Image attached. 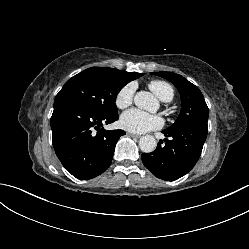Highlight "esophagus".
Returning a JSON list of instances; mask_svg holds the SVG:
<instances>
[{"instance_id": "esophagus-1", "label": "esophagus", "mask_w": 249, "mask_h": 249, "mask_svg": "<svg viewBox=\"0 0 249 249\" xmlns=\"http://www.w3.org/2000/svg\"><path fill=\"white\" fill-rule=\"evenodd\" d=\"M127 135L130 136V137H136V138L140 137V135L134 134V133H130V132H128Z\"/></svg>"}]
</instances>
